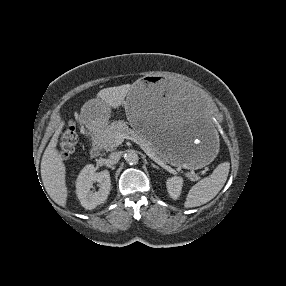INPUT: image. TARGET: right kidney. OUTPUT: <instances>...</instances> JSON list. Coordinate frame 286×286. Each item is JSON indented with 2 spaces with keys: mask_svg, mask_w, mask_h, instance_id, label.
I'll list each match as a JSON object with an SVG mask.
<instances>
[{
  "mask_svg": "<svg viewBox=\"0 0 286 286\" xmlns=\"http://www.w3.org/2000/svg\"><path fill=\"white\" fill-rule=\"evenodd\" d=\"M93 182H98L99 190L94 192ZM111 180L108 170L96 172L94 165H86L79 173L76 180V194L81 205L88 210L104 203L110 193Z\"/></svg>",
  "mask_w": 286,
  "mask_h": 286,
  "instance_id": "1",
  "label": "right kidney"
}]
</instances>
